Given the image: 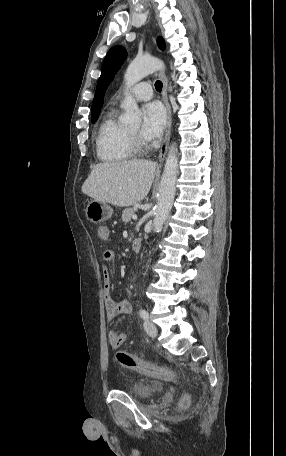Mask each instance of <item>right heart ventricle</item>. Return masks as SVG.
Listing matches in <instances>:
<instances>
[{
  "label": "right heart ventricle",
  "instance_id": "1",
  "mask_svg": "<svg viewBox=\"0 0 286 456\" xmlns=\"http://www.w3.org/2000/svg\"><path fill=\"white\" fill-rule=\"evenodd\" d=\"M129 129L116 120L115 113L109 112L101 123L96 138L98 158L107 163H119L133 155Z\"/></svg>",
  "mask_w": 286,
  "mask_h": 456
}]
</instances>
